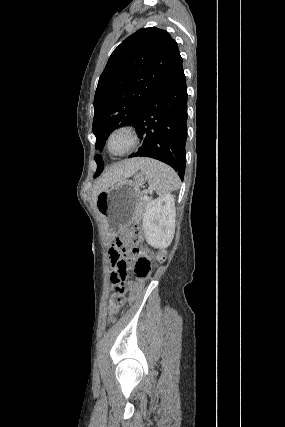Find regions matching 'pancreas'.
<instances>
[{
	"label": "pancreas",
	"instance_id": "obj_1",
	"mask_svg": "<svg viewBox=\"0 0 285 427\" xmlns=\"http://www.w3.org/2000/svg\"><path fill=\"white\" fill-rule=\"evenodd\" d=\"M149 202H150L149 198H147L146 200L143 199L140 202V204H139V214H138V217L136 218L135 221H138V220H140L142 218V215H143L145 209L147 208Z\"/></svg>",
	"mask_w": 285,
	"mask_h": 427
}]
</instances>
